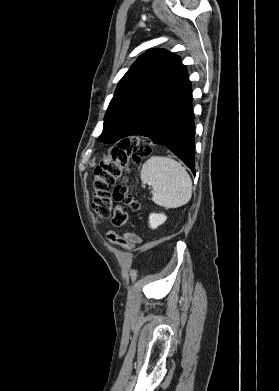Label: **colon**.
<instances>
[{
    "label": "colon",
    "mask_w": 279,
    "mask_h": 391,
    "mask_svg": "<svg viewBox=\"0 0 279 391\" xmlns=\"http://www.w3.org/2000/svg\"><path fill=\"white\" fill-rule=\"evenodd\" d=\"M149 153L150 147L143 140L126 139L113 149L109 160L95 168L91 206L99 221L111 219L114 226L122 227L128 218L124 206L139 211V202L129 193L125 184L126 174ZM107 239L128 250L135 247V243L115 232H108Z\"/></svg>",
    "instance_id": "colon-1"
}]
</instances>
